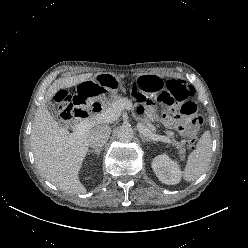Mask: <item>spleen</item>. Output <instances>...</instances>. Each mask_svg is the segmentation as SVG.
<instances>
[{"label": "spleen", "instance_id": "spleen-1", "mask_svg": "<svg viewBox=\"0 0 248 248\" xmlns=\"http://www.w3.org/2000/svg\"><path fill=\"white\" fill-rule=\"evenodd\" d=\"M212 158V139L205 131L196 144V149L188 156L183 177L187 182L197 180L209 167Z\"/></svg>", "mask_w": 248, "mask_h": 248}]
</instances>
